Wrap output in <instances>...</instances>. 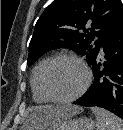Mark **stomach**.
<instances>
[{"instance_id":"stomach-1","label":"stomach","mask_w":123,"mask_h":130,"mask_svg":"<svg viewBox=\"0 0 123 130\" xmlns=\"http://www.w3.org/2000/svg\"><path fill=\"white\" fill-rule=\"evenodd\" d=\"M95 122L90 118H73L66 119L54 126H51L48 130H94ZM24 130H32L31 128H25Z\"/></svg>"}]
</instances>
